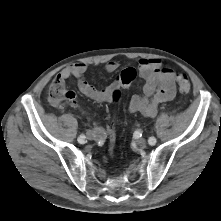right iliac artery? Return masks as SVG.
Listing matches in <instances>:
<instances>
[{
	"label": "right iliac artery",
	"instance_id": "1",
	"mask_svg": "<svg viewBox=\"0 0 221 221\" xmlns=\"http://www.w3.org/2000/svg\"><path fill=\"white\" fill-rule=\"evenodd\" d=\"M85 135H80L79 137H78V142L79 143H81V144H84L85 143Z\"/></svg>",
	"mask_w": 221,
	"mask_h": 221
}]
</instances>
